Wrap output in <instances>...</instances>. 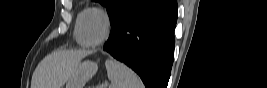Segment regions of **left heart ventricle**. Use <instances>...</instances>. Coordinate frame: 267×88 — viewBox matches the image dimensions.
I'll return each mask as SVG.
<instances>
[{
    "instance_id": "b2bd125f",
    "label": "left heart ventricle",
    "mask_w": 267,
    "mask_h": 88,
    "mask_svg": "<svg viewBox=\"0 0 267 88\" xmlns=\"http://www.w3.org/2000/svg\"><path fill=\"white\" fill-rule=\"evenodd\" d=\"M84 32L88 41H99L105 33V22L103 18L97 14L88 15L85 20Z\"/></svg>"
}]
</instances>
